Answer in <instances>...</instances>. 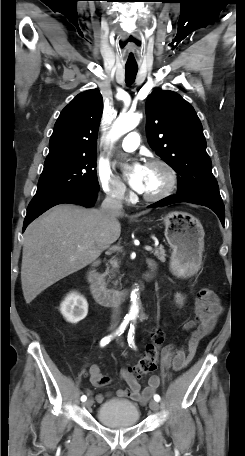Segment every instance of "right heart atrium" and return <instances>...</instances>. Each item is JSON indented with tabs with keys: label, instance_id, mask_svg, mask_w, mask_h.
<instances>
[{
	"label": "right heart atrium",
	"instance_id": "d8ad5b80",
	"mask_svg": "<svg viewBox=\"0 0 245 456\" xmlns=\"http://www.w3.org/2000/svg\"><path fill=\"white\" fill-rule=\"evenodd\" d=\"M96 173L100 188L108 198L115 201L127 200L128 191L126 186L108 168L98 166Z\"/></svg>",
	"mask_w": 245,
	"mask_h": 456
}]
</instances>
